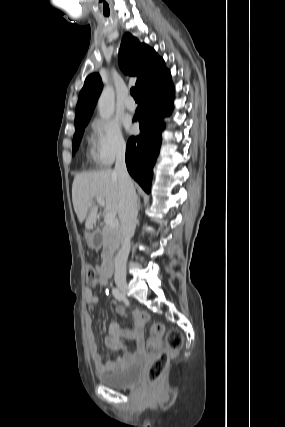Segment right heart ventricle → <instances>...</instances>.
I'll list each match as a JSON object with an SVG mask.
<instances>
[{
    "label": "right heart ventricle",
    "instance_id": "e07e8e85",
    "mask_svg": "<svg viewBox=\"0 0 285 427\" xmlns=\"http://www.w3.org/2000/svg\"><path fill=\"white\" fill-rule=\"evenodd\" d=\"M90 156H93L94 158H95V156H94V154L92 155V154H90ZM96 159V158H95Z\"/></svg>",
    "mask_w": 285,
    "mask_h": 427
}]
</instances>
